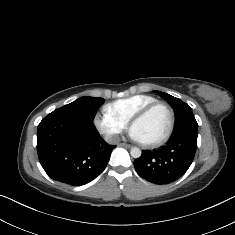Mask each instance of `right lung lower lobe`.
I'll return each mask as SVG.
<instances>
[{"mask_svg":"<svg viewBox=\"0 0 235 235\" xmlns=\"http://www.w3.org/2000/svg\"><path fill=\"white\" fill-rule=\"evenodd\" d=\"M93 120L67 111L54 110L38 125L37 152L52 179L81 186L106 168L111 151Z\"/></svg>","mask_w":235,"mask_h":235,"instance_id":"right-lung-lower-lobe-1","label":"right lung lower lobe"}]
</instances>
